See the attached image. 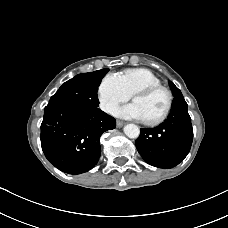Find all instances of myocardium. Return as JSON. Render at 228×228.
Instances as JSON below:
<instances>
[{"label": "myocardium", "instance_id": "obj_1", "mask_svg": "<svg viewBox=\"0 0 228 228\" xmlns=\"http://www.w3.org/2000/svg\"><path fill=\"white\" fill-rule=\"evenodd\" d=\"M157 91H163L166 94L167 103H166L165 109L163 110V112L159 116H157L153 119H146V120L143 119V122L147 125H156V124L162 122L168 116V114L171 111L172 104H173L172 92L165 86L154 85V86L142 87V88L136 90L131 95L132 100H134V98L137 96H147V95H150V94L157 92Z\"/></svg>", "mask_w": 228, "mask_h": 228}]
</instances>
